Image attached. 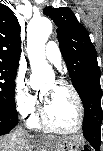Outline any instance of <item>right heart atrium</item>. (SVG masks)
Returning a JSON list of instances; mask_svg holds the SVG:
<instances>
[{"instance_id":"right-heart-atrium-1","label":"right heart atrium","mask_w":103,"mask_h":151,"mask_svg":"<svg viewBox=\"0 0 103 151\" xmlns=\"http://www.w3.org/2000/svg\"><path fill=\"white\" fill-rule=\"evenodd\" d=\"M14 100L16 108L22 116L31 118L35 115L37 100L21 75L15 79Z\"/></svg>"}]
</instances>
